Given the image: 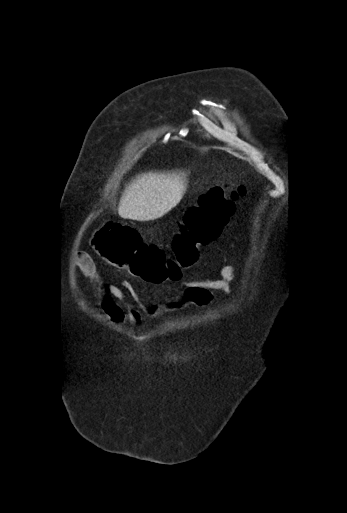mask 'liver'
<instances>
[{
  "label": "liver",
  "instance_id": "obj_1",
  "mask_svg": "<svg viewBox=\"0 0 347 513\" xmlns=\"http://www.w3.org/2000/svg\"><path fill=\"white\" fill-rule=\"evenodd\" d=\"M149 172L138 176L124 190L118 214L124 219L155 217L166 213L186 189L185 178Z\"/></svg>",
  "mask_w": 347,
  "mask_h": 513
}]
</instances>
